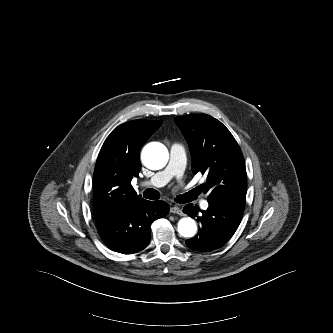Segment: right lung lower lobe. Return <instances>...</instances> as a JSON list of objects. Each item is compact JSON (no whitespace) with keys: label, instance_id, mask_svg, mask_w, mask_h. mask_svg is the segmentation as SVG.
Here are the masks:
<instances>
[{"label":"right lung lower lobe","instance_id":"right-lung-lower-lobe-1","mask_svg":"<svg viewBox=\"0 0 333 333\" xmlns=\"http://www.w3.org/2000/svg\"><path fill=\"white\" fill-rule=\"evenodd\" d=\"M168 212L169 206L164 201L139 198L117 212L95 217L105 244L116 252L132 254L148 245L152 222Z\"/></svg>","mask_w":333,"mask_h":333}]
</instances>
